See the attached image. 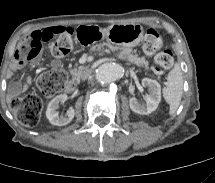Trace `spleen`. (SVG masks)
<instances>
[{
	"label": "spleen",
	"mask_w": 215,
	"mask_h": 183,
	"mask_svg": "<svg viewBox=\"0 0 215 183\" xmlns=\"http://www.w3.org/2000/svg\"><path fill=\"white\" fill-rule=\"evenodd\" d=\"M183 94V75L179 65H176L168 74L167 85L163 88V97L170 106L172 115L178 109Z\"/></svg>",
	"instance_id": "spleen-1"
}]
</instances>
